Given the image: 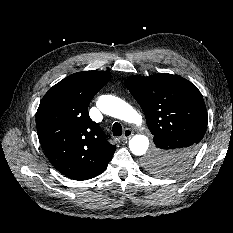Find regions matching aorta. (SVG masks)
Returning a JSON list of instances; mask_svg holds the SVG:
<instances>
[{
  "mask_svg": "<svg viewBox=\"0 0 233 233\" xmlns=\"http://www.w3.org/2000/svg\"><path fill=\"white\" fill-rule=\"evenodd\" d=\"M97 107L106 115L118 118L128 123L141 125V115L128 103L112 95H102L97 101ZM149 139L145 135H135L129 141L130 151L138 156L146 153Z\"/></svg>",
  "mask_w": 233,
  "mask_h": 233,
  "instance_id": "obj_1",
  "label": "aorta"
}]
</instances>
